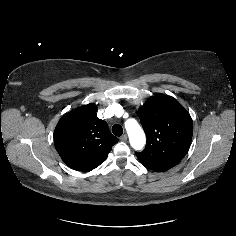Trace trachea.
I'll use <instances>...</instances> for the list:
<instances>
[{
    "label": "trachea",
    "mask_w": 236,
    "mask_h": 236,
    "mask_svg": "<svg viewBox=\"0 0 236 236\" xmlns=\"http://www.w3.org/2000/svg\"><path fill=\"white\" fill-rule=\"evenodd\" d=\"M112 132L115 136H121L123 134V128L121 125L119 124H115L113 127H112Z\"/></svg>",
    "instance_id": "obj_1"
}]
</instances>
